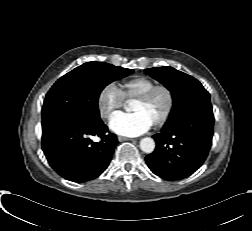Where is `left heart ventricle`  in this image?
<instances>
[{
  "instance_id": "1",
  "label": "left heart ventricle",
  "mask_w": 252,
  "mask_h": 231,
  "mask_svg": "<svg viewBox=\"0 0 252 231\" xmlns=\"http://www.w3.org/2000/svg\"><path fill=\"white\" fill-rule=\"evenodd\" d=\"M167 97L164 92H158L150 102L144 103L136 100L132 111L144 113L152 122H155L164 112Z\"/></svg>"
}]
</instances>
